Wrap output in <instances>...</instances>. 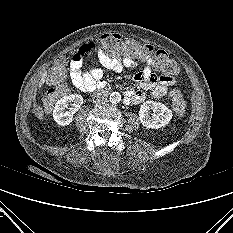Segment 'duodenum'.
<instances>
[{
  "label": "duodenum",
  "instance_id": "duodenum-1",
  "mask_svg": "<svg viewBox=\"0 0 233 233\" xmlns=\"http://www.w3.org/2000/svg\"><path fill=\"white\" fill-rule=\"evenodd\" d=\"M109 92H110V90L107 87H102V88L97 90V95L106 96L109 94Z\"/></svg>",
  "mask_w": 233,
  "mask_h": 233
}]
</instances>
